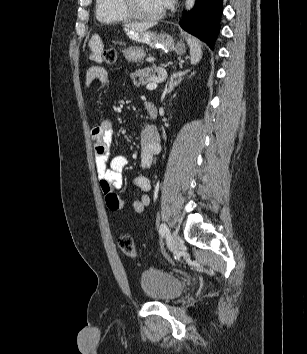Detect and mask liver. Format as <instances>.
<instances>
[{
	"instance_id": "1",
	"label": "liver",
	"mask_w": 307,
	"mask_h": 354,
	"mask_svg": "<svg viewBox=\"0 0 307 354\" xmlns=\"http://www.w3.org/2000/svg\"><path fill=\"white\" fill-rule=\"evenodd\" d=\"M153 24L151 23H132L125 25L126 28L134 31V32H145L149 28H151Z\"/></svg>"
}]
</instances>
